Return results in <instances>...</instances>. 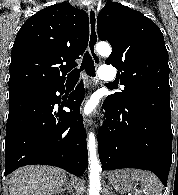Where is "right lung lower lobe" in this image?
<instances>
[{
  "mask_svg": "<svg viewBox=\"0 0 178 195\" xmlns=\"http://www.w3.org/2000/svg\"><path fill=\"white\" fill-rule=\"evenodd\" d=\"M57 87L29 89L9 96L5 138V175L30 164L52 165L81 176L88 168L86 131L79 113L84 87L79 84L66 107L60 103Z\"/></svg>",
  "mask_w": 178,
  "mask_h": 195,
  "instance_id": "98d812e1",
  "label": "right lung lower lobe"
}]
</instances>
